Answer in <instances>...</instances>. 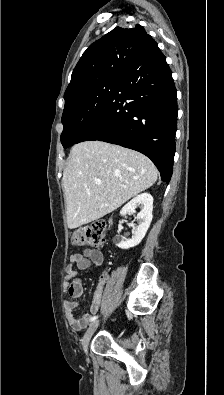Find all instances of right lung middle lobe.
<instances>
[{"instance_id":"right-lung-middle-lobe-1","label":"right lung middle lobe","mask_w":224,"mask_h":395,"mask_svg":"<svg viewBox=\"0 0 224 395\" xmlns=\"http://www.w3.org/2000/svg\"><path fill=\"white\" fill-rule=\"evenodd\" d=\"M120 80L121 76L104 78L64 97V129L61 134L64 148L77 143L86 133L93 119L105 108L116 91Z\"/></svg>"}]
</instances>
